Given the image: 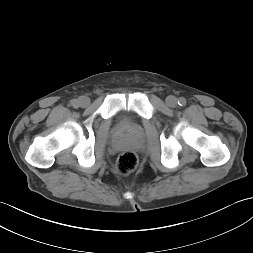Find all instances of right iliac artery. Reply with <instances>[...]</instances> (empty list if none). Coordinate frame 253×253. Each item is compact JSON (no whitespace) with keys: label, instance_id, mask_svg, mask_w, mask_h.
Returning a JSON list of instances; mask_svg holds the SVG:
<instances>
[{"label":"right iliac artery","instance_id":"obj_1","mask_svg":"<svg viewBox=\"0 0 253 253\" xmlns=\"http://www.w3.org/2000/svg\"><path fill=\"white\" fill-rule=\"evenodd\" d=\"M71 104H72L74 107H78V106H79L78 101L75 100V99L71 101Z\"/></svg>","mask_w":253,"mask_h":253}]
</instances>
